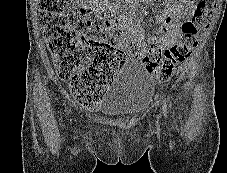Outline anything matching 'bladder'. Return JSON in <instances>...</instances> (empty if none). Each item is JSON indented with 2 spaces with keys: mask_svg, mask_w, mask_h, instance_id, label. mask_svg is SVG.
<instances>
[{
  "mask_svg": "<svg viewBox=\"0 0 227 173\" xmlns=\"http://www.w3.org/2000/svg\"><path fill=\"white\" fill-rule=\"evenodd\" d=\"M153 80L137 61L127 62L98 102L99 111L107 114H129L138 111L152 93Z\"/></svg>",
  "mask_w": 227,
  "mask_h": 173,
  "instance_id": "obj_1",
  "label": "bladder"
}]
</instances>
